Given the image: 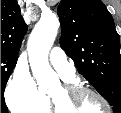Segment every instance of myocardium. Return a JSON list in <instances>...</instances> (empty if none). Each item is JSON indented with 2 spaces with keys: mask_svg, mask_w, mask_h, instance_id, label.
Masks as SVG:
<instances>
[{
  "mask_svg": "<svg viewBox=\"0 0 121 113\" xmlns=\"http://www.w3.org/2000/svg\"><path fill=\"white\" fill-rule=\"evenodd\" d=\"M61 91L64 94V100L61 103L57 98L49 96V101L54 110V113H69V110H73L75 107L74 98L78 95L92 94L97 97L105 107V113H111V106L109 101L96 90L78 83H66L61 86ZM63 107L67 111H63Z\"/></svg>",
  "mask_w": 121,
  "mask_h": 113,
  "instance_id": "f54148a6",
  "label": "myocardium"
}]
</instances>
